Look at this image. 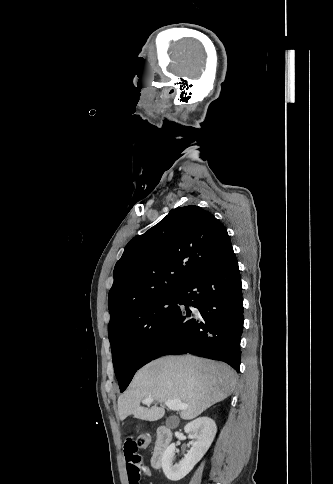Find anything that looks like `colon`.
<instances>
[{
    "label": "colon",
    "mask_w": 333,
    "mask_h": 484,
    "mask_svg": "<svg viewBox=\"0 0 333 484\" xmlns=\"http://www.w3.org/2000/svg\"><path fill=\"white\" fill-rule=\"evenodd\" d=\"M151 443V436L149 433H142L136 439V445L139 448H146Z\"/></svg>",
    "instance_id": "obj_1"
}]
</instances>
